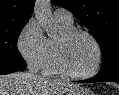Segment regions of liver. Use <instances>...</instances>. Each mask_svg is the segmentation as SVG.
Masks as SVG:
<instances>
[{"label": "liver", "mask_w": 119, "mask_h": 95, "mask_svg": "<svg viewBox=\"0 0 119 95\" xmlns=\"http://www.w3.org/2000/svg\"><path fill=\"white\" fill-rule=\"evenodd\" d=\"M77 85L27 72L0 75V95H64Z\"/></svg>", "instance_id": "1"}]
</instances>
